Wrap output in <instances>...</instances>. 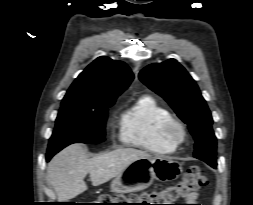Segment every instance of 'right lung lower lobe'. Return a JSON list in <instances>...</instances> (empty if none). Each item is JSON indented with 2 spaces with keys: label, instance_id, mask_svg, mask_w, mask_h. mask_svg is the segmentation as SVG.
I'll list each match as a JSON object with an SVG mask.
<instances>
[{
  "label": "right lung lower lobe",
  "instance_id": "1",
  "mask_svg": "<svg viewBox=\"0 0 253 205\" xmlns=\"http://www.w3.org/2000/svg\"><path fill=\"white\" fill-rule=\"evenodd\" d=\"M54 154H56V153H47L46 160L49 161Z\"/></svg>",
  "mask_w": 253,
  "mask_h": 205
}]
</instances>
